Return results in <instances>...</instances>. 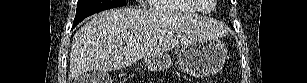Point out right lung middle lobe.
<instances>
[{
    "mask_svg": "<svg viewBox=\"0 0 307 83\" xmlns=\"http://www.w3.org/2000/svg\"><path fill=\"white\" fill-rule=\"evenodd\" d=\"M126 0H78L73 27L86 17L110 8L122 7Z\"/></svg>",
    "mask_w": 307,
    "mask_h": 83,
    "instance_id": "1",
    "label": "right lung middle lobe"
}]
</instances>
